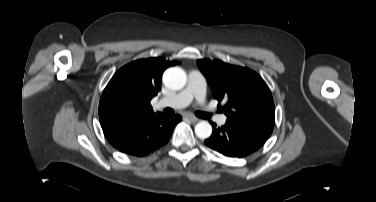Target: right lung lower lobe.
<instances>
[{"label": "right lung lower lobe", "instance_id": "1", "mask_svg": "<svg viewBox=\"0 0 376 202\" xmlns=\"http://www.w3.org/2000/svg\"><path fill=\"white\" fill-rule=\"evenodd\" d=\"M181 119V116L177 114L157 113L106 138L121 152L133 156H144L165 145L172 135L174 126Z\"/></svg>", "mask_w": 376, "mask_h": 202}]
</instances>
